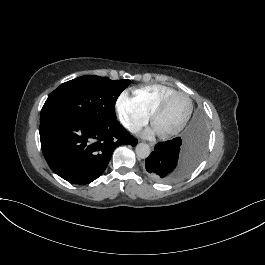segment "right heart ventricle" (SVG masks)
<instances>
[{
  "mask_svg": "<svg viewBox=\"0 0 265 265\" xmlns=\"http://www.w3.org/2000/svg\"><path fill=\"white\" fill-rule=\"evenodd\" d=\"M172 91V88L163 85H150L133 90V94L151 113L157 101Z\"/></svg>",
  "mask_w": 265,
  "mask_h": 265,
  "instance_id": "1",
  "label": "right heart ventricle"
}]
</instances>
